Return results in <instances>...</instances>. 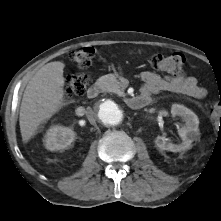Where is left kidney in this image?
Returning a JSON list of instances; mask_svg holds the SVG:
<instances>
[{"mask_svg":"<svg viewBox=\"0 0 221 221\" xmlns=\"http://www.w3.org/2000/svg\"><path fill=\"white\" fill-rule=\"evenodd\" d=\"M171 114L172 116H180L185 121V125L178 130L182 143L173 144L167 142L165 137L157 136L155 140L156 145L162 150L171 152H181L190 149L192 142L199 136V119L197 115L184 105L180 104L172 105Z\"/></svg>","mask_w":221,"mask_h":221,"instance_id":"obj_1","label":"left kidney"}]
</instances>
